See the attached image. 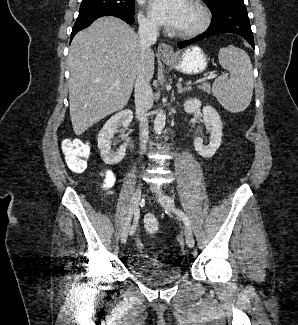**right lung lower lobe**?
Returning a JSON list of instances; mask_svg holds the SVG:
<instances>
[{
  "instance_id": "98d812e1",
  "label": "right lung lower lobe",
  "mask_w": 298,
  "mask_h": 325,
  "mask_svg": "<svg viewBox=\"0 0 298 325\" xmlns=\"http://www.w3.org/2000/svg\"><path fill=\"white\" fill-rule=\"evenodd\" d=\"M106 15H112V16L119 17V18H121L122 20L126 21L129 24L134 23V20H135L134 17L131 16V15L121 14V13H117V12H114V13H97V14H94V15L86 16V17H78L74 27L72 28L71 39L74 37V35L78 31L88 27L94 20H96L97 18H99L101 16H106Z\"/></svg>"
}]
</instances>
